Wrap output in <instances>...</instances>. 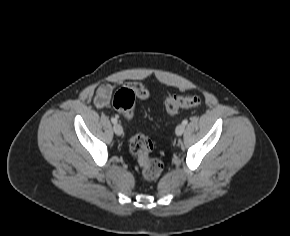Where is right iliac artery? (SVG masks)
<instances>
[{"mask_svg": "<svg viewBox=\"0 0 290 236\" xmlns=\"http://www.w3.org/2000/svg\"><path fill=\"white\" fill-rule=\"evenodd\" d=\"M112 123L116 124L117 123V120L115 118H112L111 119Z\"/></svg>", "mask_w": 290, "mask_h": 236, "instance_id": "1", "label": "right iliac artery"}]
</instances>
